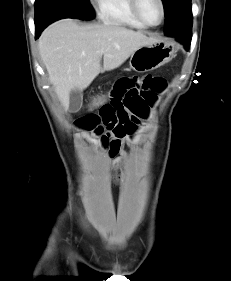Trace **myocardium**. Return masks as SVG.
<instances>
[{
    "mask_svg": "<svg viewBox=\"0 0 231 281\" xmlns=\"http://www.w3.org/2000/svg\"><path fill=\"white\" fill-rule=\"evenodd\" d=\"M160 7H161V19L157 24H151L149 23L145 17L143 16L141 9H140V0H131V6L134 14L136 17L147 27H157L163 23L165 20L166 10H165V4L163 0H158Z\"/></svg>",
    "mask_w": 231,
    "mask_h": 281,
    "instance_id": "f54148a6",
    "label": "myocardium"
}]
</instances>
